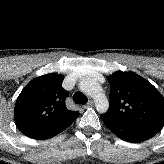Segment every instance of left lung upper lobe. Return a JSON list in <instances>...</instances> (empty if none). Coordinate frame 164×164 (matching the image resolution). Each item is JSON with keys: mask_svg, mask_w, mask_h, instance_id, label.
Segmentation results:
<instances>
[{"mask_svg": "<svg viewBox=\"0 0 164 164\" xmlns=\"http://www.w3.org/2000/svg\"><path fill=\"white\" fill-rule=\"evenodd\" d=\"M110 109L106 115L127 126L157 134L164 126V97L133 72L110 75Z\"/></svg>", "mask_w": 164, "mask_h": 164, "instance_id": "obj_1", "label": "left lung upper lobe"}]
</instances>
